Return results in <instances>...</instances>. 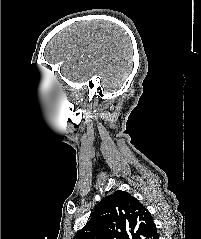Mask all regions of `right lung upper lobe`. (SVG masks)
Instances as JSON below:
<instances>
[{
	"mask_svg": "<svg viewBox=\"0 0 201 239\" xmlns=\"http://www.w3.org/2000/svg\"><path fill=\"white\" fill-rule=\"evenodd\" d=\"M149 211L131 194L117 190L103 198L73 239H155Z\"/></svg>",
	"mask_w": 201,
	"mask_h": 239,
	"instance_id": "1",
	"label": "right lung upper lobe"
}]
</instances>
